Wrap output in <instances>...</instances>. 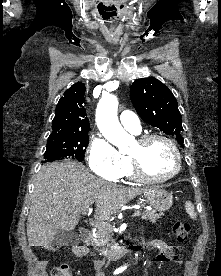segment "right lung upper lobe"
I'll list each match as a JSON object with an SVG mask.
<instances>
[{"label": "right lung upper lobe", "instance_id": "cb5924a9", "mask_svg": "<svg viewBox=\"0 0 221 276\" xmlns=\"http://www.w3.org/2000/svg\"><path fill=\"white\" fill-rule=\"evenodd\" d=\"M84 94L85 85L81 82L65 91L56 106L49 138L88 134L90 126L84 108Z\"/></svg>", "mask_w": 221, "mask_h": 276}]
</instances>
